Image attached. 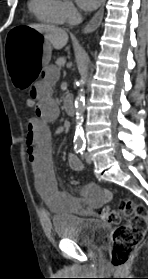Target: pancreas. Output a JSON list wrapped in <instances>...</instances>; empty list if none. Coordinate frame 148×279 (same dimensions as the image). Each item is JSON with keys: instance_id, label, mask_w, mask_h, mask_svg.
Returning a JSON list of instances; mask_svg holds the SVG:
<instances>
[{"instance_id": "cf45deb5", "label": "pancreas", "mask_w": 148, "mask_h": 279, "mask_svg": "<svg viewBox=\"0 0 148 279\" xmlns=\"http://www.w3.org/2000/svg\"><path fill=\"white\" fill-rule=\"evenodd\" d=\"M65 59L64 58H59L56 61V64L58 65L59 68H62L64 66Z\"/></svg>"}]
</instances>
